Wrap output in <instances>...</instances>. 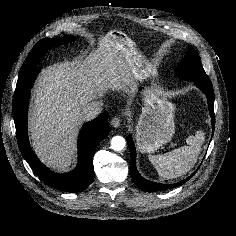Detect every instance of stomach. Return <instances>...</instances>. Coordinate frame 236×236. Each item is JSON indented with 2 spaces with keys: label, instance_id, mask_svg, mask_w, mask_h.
Instances as JSON below:
<instances>
[{
  "label": "stomach",
  "instance_id": "1",
  "mask_svg": "<svg viewBox=\"0 0 236 236\" xmlns=\"http://www.w3.org/2000/svg\"><path fill=\"white\" fill-rule=\"evenodd\" d=\"M107 37L125 53L136 79L143 81L152 75V64L141 54L132 51L130 38L118 30H111ZM142 102V112L135 126L136 143L140 152L153 153L168 143L175 133V106L154 88L143 91Z\"/></svg>",
  "mask_w": 236,
  "mask_h": 236
}]
</instances>
